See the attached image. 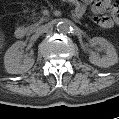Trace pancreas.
I'll list each match as a JSON object with an SVG mask.
<instances>
[{"label": "pancreas", "instance_id": "obj_1", "mask_svg": "<svg viewBox=\"0 0 119 119\" xmlns=\"http://www.w3.org/2000/svg\"><path fill=\"white\" fill-rule=\"evenodd\" d=\"M35 15V14H34ZM46 20V18L42 17L39 21H37L36 23L32 24L31 26L27 27V29L30 32H33L42 22H44Z\"/></svg>", "mask_w": 119, "mask_h": 119}]
</instances>
